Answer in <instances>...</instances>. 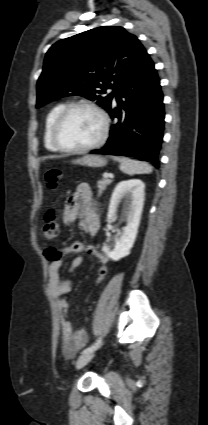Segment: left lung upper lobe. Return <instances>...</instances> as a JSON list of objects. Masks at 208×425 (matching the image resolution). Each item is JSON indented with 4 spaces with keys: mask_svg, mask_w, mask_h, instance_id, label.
I'll return each mask as SVG.
<instances>
[{
    "mask_svg": "<svg viewBox=\"0 0 208 425\" xmlns=\"http://www.w3.org/2000/svg\"><path fill=\"white\" fill-rule=\"evenodd\" d=\"M146 54L137 37L118 26H102L62 39L46 53L36 107L80 95L106 110L116 89L134 74ZM106 89L114 91L106 95Z\"/></svg>",
    "mask_w": 208,
    "mask_h": 425,
    "instance_id": "1",
    "label": "left lung upper lobe"
}]
</instances>
